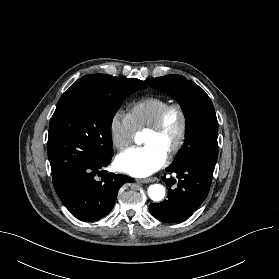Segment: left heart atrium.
I'll list each match as a JSON object with an SVG mask.
<instances>
[{
  "label": "left heart atrium",
  "instance_id": "obj_1",
  "mask_svg": "<svg viewBox=\"0 0 279 279\" xmlns=\"http://www.w3.org/2000/svg\"><path fill=\"white\" fill-rule=\"evenodd\" d=\"M167 155L153 145L133 147L118 155L116 166L119 170L135 177H146L159 170Z\"/></svg>",
  "mask_w": 279,
  "mask_h": 279
}]
</instances>
